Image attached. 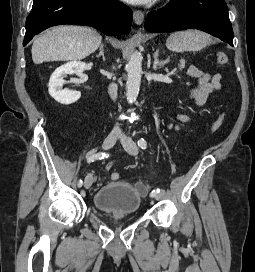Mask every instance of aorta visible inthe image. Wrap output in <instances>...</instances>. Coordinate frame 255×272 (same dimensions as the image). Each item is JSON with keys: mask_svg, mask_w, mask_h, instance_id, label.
Masks as SVG:
<instances>
[{"mask_svg": "<svg viewBox=\"0 0 255 272\" xmlns=\"http://www.w3.org/2000/svg\"><path fill=\"white\" fill-rule=\"evenodd\" d=\"M142 55L140 52L135 51L132 53L129 62L126 65V71L128 74L126 83V97L129 104L136 101L142 76Z\"/></svg>", "mask_w": 255, "mask_h": 272, "instance_id": "1", "label": "aorta"}]
</instances>
